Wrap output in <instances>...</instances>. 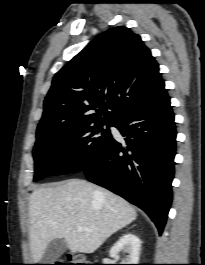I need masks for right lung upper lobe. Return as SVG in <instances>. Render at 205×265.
Masks as SVG:
<instances>
[{
  "label": "right lung upper lobe",
  "instance_id": "1",
  "mask_svg": "<svg viewBox=\"0 0 205 265\" xmlns=\"http://www.w3.org/2000/svg\"><path fill=\"white\" fill-rule=\"evenodd\" d=\"M164 89L158 63L140 36L127 27H113L55 74L37 131L115 122Z\"/></svg>",
  "mask_w": 205,
  "mask_h": 265
}]
</instances>
